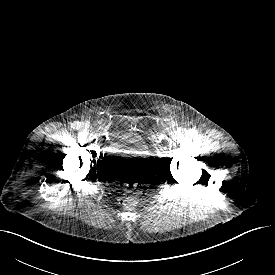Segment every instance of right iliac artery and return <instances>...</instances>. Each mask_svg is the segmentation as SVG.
Returning <instances> with one entry per match:
<instances>
[{
    "label": "right iliac artery",
    "mask_w": 275,
    "mask_h": 275,
    "mask_svg": "<svg viewBox=\"0 0 275 275\" xmlns=\"http://www.w3.org/2000/svg\"><path fill=\"white\" fill-rule=\"evenodd\" d=\"M72 128L74 129H78L80 127V123L79 122H74L72 125H71Z\"/></svg>",
    "instance_id": "82829eb1"
}]
</instances>
